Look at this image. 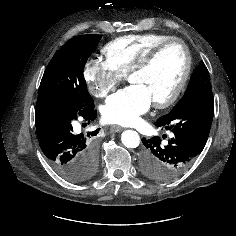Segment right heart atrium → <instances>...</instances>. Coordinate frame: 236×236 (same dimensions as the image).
Instances as JSON below:
<instances>
[{
  "label": "right heart atrium",
  "mask_w": 236,
  "mask_h": 236,
  "mask_svg": "<svg viewBox=\"0 0 236 236\" xmlns=\"http://www.w3.org/2000/svg\"><path fill=\"white\" fill-rule=\"evenodd\" d=\"M83 78L94 96L104 98L117 88L123 75L107 59L95 57L85 63Z\"/></svg>",
  "instance_id": "right-heart-atrium-1"
}]
</instances>
